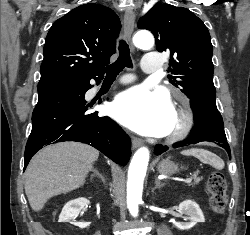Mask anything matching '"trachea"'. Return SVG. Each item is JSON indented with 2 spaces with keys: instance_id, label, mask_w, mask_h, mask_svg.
I'll return each mask as SVG.
<instances>
[{
  "instance_id": "3493384b",
  "label": "trachea",
  "mask_w": 250,
  "mask_h": 235,
  "mask_svg": "<svg viewBox=\"0 0 250 235\" xmlns=\"http://www.w3.org/2000/svg\"><path fill=\"white\" fill-rule=\"evenodd\" d=\"M118 49V59L106 67V78L116 77L125 67H132V60L130 57L128 44L124 40H120Z\"/></svg>"
}]
</instances>
